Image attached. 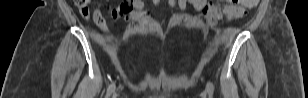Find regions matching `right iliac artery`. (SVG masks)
Returning a JSON list of instances; mask_svg holds the SVG:
<instances>
[{"label":"right iliac artery","instance_id":"obj_1","mask_svg":"<svg viewBox=\"0 0 308 98\" xmlns=\"http://www.w3.org/2000/svg\"><path fill=\"white\" fill-rule=\"evenodd\" d=\"M115 89V84H111L109 87H108V90H107V97H109L111 95V92Z\"/></svg>","mask_w":308,"mask_h":98}]
</instances>
